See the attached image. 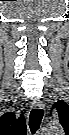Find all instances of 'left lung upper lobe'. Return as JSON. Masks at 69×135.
Masks as SVG:
<instances>
[{
	"label": "left lung upper lobe",
	"instance_id": "obj_1",
	"mask_svg": "<svg viewBox=\"0 0 69 135\" xmlns=\"http://www.w3.org/2000/svg\"><path fill=\"white\" fill-rule=\"evenodd\" d=\"M53 107L57 109L59 120L63 123V120H66L67 117H69V106L64 101H58Z\"/></svg>",
	"mask_w": 69,
	"mask_h": 135
}]
</instances>
